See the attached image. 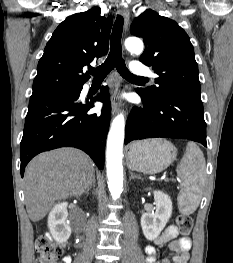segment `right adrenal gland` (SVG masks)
<instances>
[{
    "label": "right adrenal gland",
    "mask_w": 233,
    "mask_h": 263,
    "mask_svg": "<svg viewBox=\"0 0 233 263\" xmlns=\"http://www.w3.org/2000/svg\"><path fill=\"white\" fill-rule=\"evenodd\" d=\"M93 187H95V176L93 177L92 183L90 184V186L88 187V189L86 190V193H88L90 191V189Z\"/></svg>",
    "instance_id": "obj_1"
}]
</instances>
